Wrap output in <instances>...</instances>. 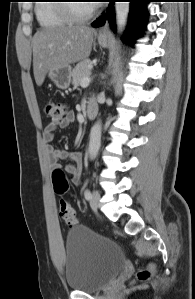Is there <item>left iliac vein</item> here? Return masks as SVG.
<instances>
[{"instance_id": "left-iliac-vein-1", "label": "left iliac vein", "mask_w": 195, "mask_h": 299, "mask_svg": "<svg viewBox=\"0 0 195 299\" xmlns=\"http://www.w3.org/2000/svg\"><path fill=\"white\" fill-rule=\"evenodd\" d=\"M90 206L92 210L96 211L100 206V195L98 191L94 190L90 199Z\"/></svg>"}]
</instances>
